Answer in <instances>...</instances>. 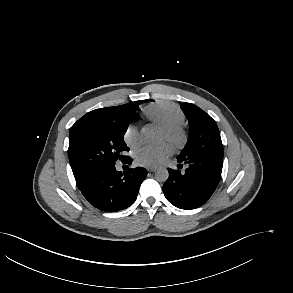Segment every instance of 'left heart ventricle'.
Returning <instances> with one entry per match:
<instances>
[{"label":"left heart ventricle","mask_w":293,"mask_h":293,"mask_svg":"<svg viewBox=\"0 0 293 293\" xmlns=\"http://www.w3.org/2000/svg\"><path fill=\"white\" fill-rule=\"evenodd\" d=\"M162 140H167V137L164 132H162Z\"/></svg>","instance_id":"1"}]
</instances>
